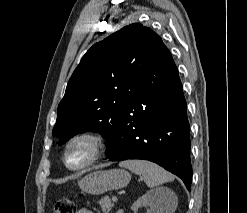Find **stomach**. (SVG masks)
I'll return each instance as SVG.
<instances>
[{
  "instance_id": "stomach-1",
  "label": "stomach",
  "mask_w": 247,
  "mask_h": 213,
  "mask_svg": "<svg viewBox=\"0 0 247 213\" xmlns=\"http://www.w3.org/2000/svg\"><path fill=\"white\" fill-rule=\"evenodd\" d=\"M130 179V174L122 169L96 170L85 175L78 186L85 193L101 195L127 186Z\"/></svg>"
}]
</instances>
